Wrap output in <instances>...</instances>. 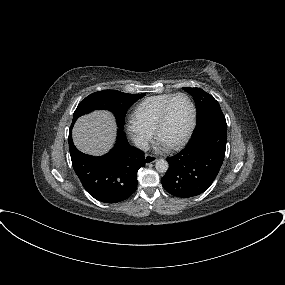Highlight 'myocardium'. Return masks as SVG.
<instances>
[{"mask_svg":"<svg viewBox=\"0 0 285 285\" xmlns=\"http://www.w3.org/2000/svg\"><path fill=\"white\" fill-rule=\"evenodd\" d=\"M178 97H184L189 102L190 107H191V119H190L188 129L185 132V134L183 135V137L181 139H179L177 142H175L171 145H168L167 147L169 149H178V148L182 147L190 139V137L194 131L195 125H196L197 111H196V106H195L193 100L191 99V97L188 94L183 93V92H179V93L174 94L163 106L162 111L159 115V118H158L157 123H156L155 128H154L155 137L157 139H159V133H160V130L162 129L163 125L166 122L168 112H169V108H170L172 102Z\"/></svg>","mask_w":285,"mask_h":285,"instance_id":"1","label":"myocardium"}]
</instances>
